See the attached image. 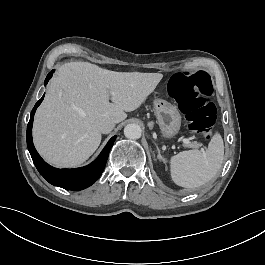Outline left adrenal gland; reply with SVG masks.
Segmentation results:
<instances>
[{"label": "left adrenal gland", "instance_id": "obj_1", "mask_svg": "<svg viewBox=\"0 0 265 265\" xmlns=\"http://www.w3.org/2000/svg\"><path fill=\"white\" fill-rule=\"evenodd\" d=\"M156 149H157V152H158V159L162 160V157H161V154H160V150H159L157 145H156Z\"/></svg>", "mask_w": 265, "mask_h": 265}]
</instances>
